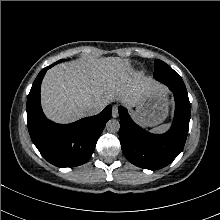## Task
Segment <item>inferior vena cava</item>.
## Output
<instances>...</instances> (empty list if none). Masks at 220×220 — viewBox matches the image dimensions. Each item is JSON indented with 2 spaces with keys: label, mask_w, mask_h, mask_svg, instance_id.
I'll return each instance as SVG.
<instances>
[{
  "label": "inferior vena cava",
  "mask_w": 220,
  "mask_h": 220,
  "mask_svg": "<svg viewBox=\"0 0 220 220\" xmlns=\"http://www.w3.org/2000/svg\"><path fill=\"white\" fill-rule=\"evenodd\" d=\"M104 107V103H91L86 106L85 112L88 116L96 115L100 113Z\"/></svg>",
  "instance_id": "1"
}]
</instances>
